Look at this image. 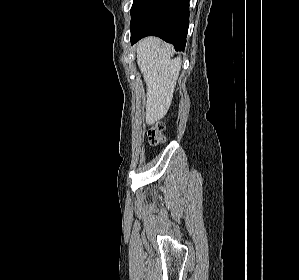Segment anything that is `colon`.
Returning a JSON list of instances; mask_svg holds the SVG:
<instances>
[{"label":"colon","instance_id":"5ec220e1","mask_svg":"<svg viewBox=\"0 0 299 280\" xmlns=\"http://www.w3.org/2000/svg\"><path fill=\"white\" fill-rule=\"evenodd\" d=\"M164 125L162 123L156 124L148 133L149 143L152 146H157L165 142Z\"/></svg>","mask_w":299,"mask_h":280}]
</instances>
